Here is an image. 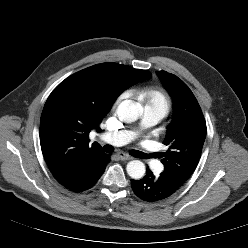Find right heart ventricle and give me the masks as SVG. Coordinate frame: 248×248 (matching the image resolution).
Segmentation results:
<instances>
[{"mask_svg": "<svg viewBox=\"0 0 248 248\" xmlns=\"http://www.w3.org/2000/svg\"><path fill=\"white\" fill-rule=\"evenodd\" d=\"M137 96L144 103L145 107L163 109L169 111L171 102L168 96L158 88H143L136 91Z\"/></svg>", "mask_w": 248, "mask_h": 248, "instance_id": "obj_1", "label": "right heart ventricle"}]
</instances>
